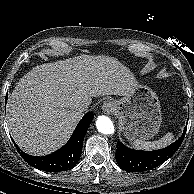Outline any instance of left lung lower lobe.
Returning a JSON list of instances; mask_svg holds the SVG:
<instances>
[{"label":"left lung lower lobe","instance_id":"1","mask_svg":"<svg viewBox=\"0 0 194 194\" xmlns=\"http://www.w3.org/2000/svg\"><path fill=\"white\" fill-rule=\"evenodd\" d=\"M186 129L187 125L178 140L160 150H133L118 142L115 157L119 167L128 172H143L156 168L178 150L186 134Z\"/></svg>","mask_w":194,"mask_h":194}]
</instances>
